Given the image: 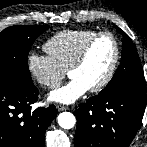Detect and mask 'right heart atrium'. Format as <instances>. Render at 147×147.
<instances>
[{
	"label": "right heart atrium",
	"instance_id": "d8ad5b80",
	"mask_svg": "<svg viewBox=\"0 0 147 147\" xmlns=\"http://www.w3.org/2000/svg\"><path fill=\"white\" fill-rule=\"evenodd\" d=\"M26 67L31 78L43 88L56 87L65 75V70L49 56L30 51L26 56Z\"/></svg>",
	"mask_w": 147,
	"mask_h": 147
}]
</instances>
